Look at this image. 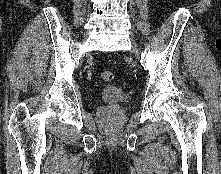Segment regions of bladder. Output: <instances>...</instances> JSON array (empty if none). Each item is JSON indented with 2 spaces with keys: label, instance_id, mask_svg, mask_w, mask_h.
Returning a JSON list of instances; mask_svg holds the SVG:
<instances>
[{
  "label": "bladder",
  "instance_id": "1",
  "mask_svg": "<svg viewBox=\"0 0 221 174\" xmlns=\"http://www.w3.org/2000/svg\"><path fill=\"white\" fill-rule=\"evenodd\" d=\"M130 93L118 86H107L99 94V98L107 102H121L130 99Z\"/></svg>",
  "mask_w": 221,
  "mask_h": 174
}]
</instances>
